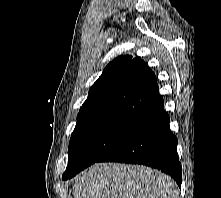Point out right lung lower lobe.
<instances>
[{"label": "right lung lower lobe", "instance_id": "right-lung-lower-lobe-1", "mask_svg": "<svg viewBox=\"0 0 221 198\" xmlns=\"http://www.w3.org/2000/svg\"><path fill=\"white\" fill-rule=\"evenodd\" d=\"M169 121L162 107L97 162L117 161L153 167L170 175L181 187L182 169L177 158V138L170 131Z\"/></svg>", "mask_w": 221, "mask_h": 198}]
</instances>
